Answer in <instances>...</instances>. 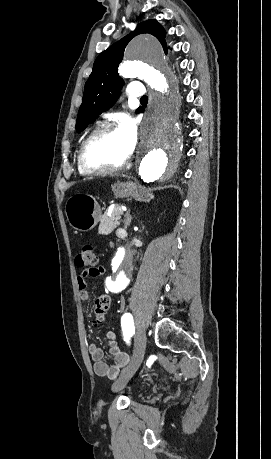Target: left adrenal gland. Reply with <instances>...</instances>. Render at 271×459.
Segmentation results:
<instances>
[{"label": "left adrenal gland", "instance_id": "a2214340", "mask_svg": "<svg viewBox=\"0 0 271 459\" xmlns=\"http://www.w3.org/2000/svg\"><path fill=\"white\" fill-rule=\"evenodd\" d=\"M131 220H133V218H132V216H130V210H129V212H126V214L124 216L125 229H127L128 226H130Z\"/></svg>", "mask_w": 271, "mask_h": 459}]
</instances>
